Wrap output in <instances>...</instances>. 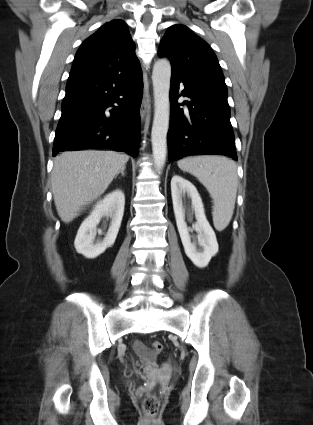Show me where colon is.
Returning <instances> with one entry per match:
<instances>
[{
    "instance_id": "1",
    "label": "colon",
    "mask_w": 313,
    "mask_h": 425,
    "mask_svg": "<svg viewBox=\"0 0 313 425\" xmlns=\"http://www.w3.org/2000/svg\"><path fill=\"white\" fill-rule=\"evenodd\" d=\"M163 349V345L159 341L152 343V351L154 353H160ZM142 408L144 413L149 417H154L159 409V401L154 394H148L142 401Z\"/></svg>"
}]
</instances>
